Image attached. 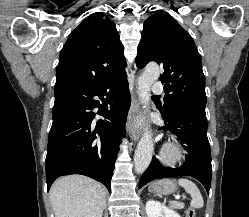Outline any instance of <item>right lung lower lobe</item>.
I'll list each match as a JSON object with an SVG mask.
<instances>
[{
    "label": "right lung lower lobe",
    "instance_id": "98d812e1",
    "mask_svg": "<svg viewBox=\"0 0 249 217\" xmlns=\"http://www.w3.org/2000/svg\"><path fill=\"white\" fill-rule=\"evenodd\" d=\"M54 93L46 156L47 189L60 176L81 174L103 183L110 191L131 103L127 75L96 86L55 87ZM96 114L103 118L94 121Z\"/></svg>",
    "mask_w": 249,
    "mask_h": 217
}]
</instances>
